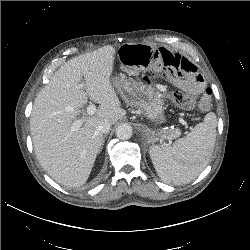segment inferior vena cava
Masks as SVG:
<instances>
[{"label": "inferior vena cava", "instance_id": "1", "mask_svg": "<svg viewBox=\"0 0 250 250\" xmlns=\"http://www.w3.org/2000/svg\"><path fill=\"white\" fill-rule=\"evenodd\" d=\"M110 127L111 123L109 121H103L98 125L97 130L101 133H108Z\"/></svg>", "mask_w": 250, "mask_h": 250}]
</instances>
